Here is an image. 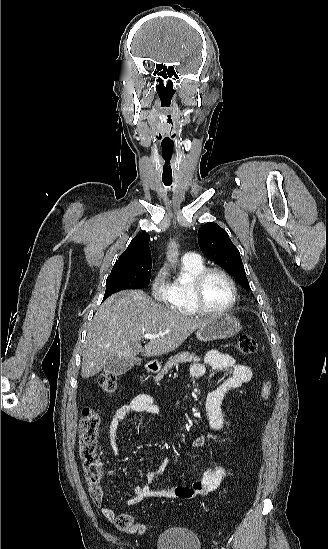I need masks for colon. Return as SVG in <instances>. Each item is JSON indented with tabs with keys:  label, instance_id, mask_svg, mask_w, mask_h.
<instances>
[{
	"label": "colon",
	"instance_id": "5ec220e1",
	"mask_svg": "<svg viewBox=\"0 0 328 549\" xmlns=\"http://www.w3.org/2000/svg\"><path fill=\"white\" fill-rule=\"evenodd\" d=\"M239 350L245 355H251L257 352L256 340L247 334H241L238 339ZM99 387L106 393H114L118 383L114 375L109 373L101 374L98 378ZM272 391L270 381L263 383L261 388L262 400L268 399ZM100 426L99 415L91 408H84L79 421V455L82 462L85 479L92 500L99 504L104 497V491L101 486L102 467L97 453V437ZM110 520L114 521L115 526L128 533H143L145 526L135 521V519L126 513L107 514Z\"/></svg>",
	"mask_w": 328,
	"mask_h": 549
}]
</instances>
